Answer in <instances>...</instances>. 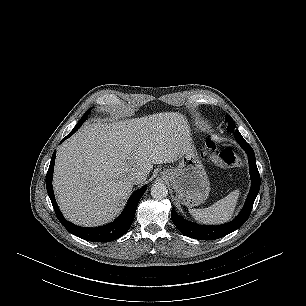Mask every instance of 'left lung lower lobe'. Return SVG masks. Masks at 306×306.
Listing matches in <instances>:
<instances>
[{
	"instance_id": "obj_1",
	"label": "left lung lower lobe",
	"mask_w": 306,
	"mask_h": 306,
	"mask_svg": "<svg viewBox=\"0 0 306 306\" xmlns=\"http://www.w3.org/2000/svg\"><path fill=\"white\" fill-rule=\"evenodd\" d=\"M236 140L246 151L252 180L251 189L243 209L233 221L219 226H199L189 223L180 217L174 209H172L171 219L177 229L184 235L200 240H215L237 230L249 218L254 201L260 189V175L257 169L255 154L252 147L244 140L242 136H236Z\"/></svg>"
}]
</instances>
